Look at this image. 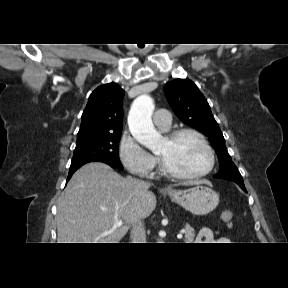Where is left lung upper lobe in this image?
<instances>
[{"label": "left lung upper lobe", "instance_id": "obj_1", "mask_svg": "<svg viewBox=\"0 0 288 288\" xmlns=\"http://www.w3.org/2000/svg\"><path fill=\"white\" fill-rule=\"evenodd\" d=\"M164 92L179 119L208 136L220 163V170L215 177L243 185L242 176L227 151L225 139L210 106L195 83L189 79H176L164 86Z\"/></svg>", "mask_w": 288, "mask_h": 288}]
</instances>
